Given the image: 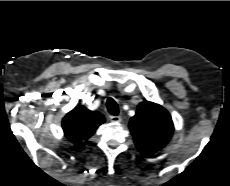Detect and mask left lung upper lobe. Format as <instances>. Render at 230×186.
I'll return each mask as SVG.
<instances>
[{
  "label": "left lung upper lobe",
  "mask_w": 230,
  "mask_h": 186,
  "mask_svg": "<svg viewBox=\"0 0 230 186\" xmlns=\"http://www.w3.org/2000/svg\"><path fill=\"white\" fill-rule=\"evenodd\" d=\"M129 128L137 149L146 156L163 148L174 129L169 113L162 106L148 101L138 105Z\"/></svg>",
  "instance_id": "5c2ea615"
}]
</instances>
